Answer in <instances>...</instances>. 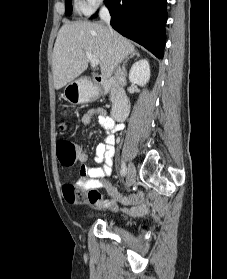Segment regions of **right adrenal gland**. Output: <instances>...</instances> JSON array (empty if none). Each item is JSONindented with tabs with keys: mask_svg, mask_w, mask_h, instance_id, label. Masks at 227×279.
Instances as JSON below:
<instances>
[{
	"mask_svg": "<svg viewBox=\"0 0 227 279\" xmlns=\"http://www.w3.org/2000/svg\"><path fill=\"white\" fill-rule=\"evenodd\" d=\"M133 57H140V54L137 52V51H134L129 57H126V59L124 60V62H123V66H122V69H123V72H124V74H126V68H125V66H126V63L131 59V58H133Z\"/></svg>",
	"mask_w": 227,
	"mask_h": 279,
	"instance_id": "right-adrenal-gland-1",
	"label": "right adrenal gland"
}]
</instances>
